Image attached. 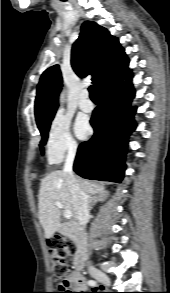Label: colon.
I'll list each match as a JSON object with an SVG mask.
<instances>
[{"label":"colon","mask_w":170,"mask_h":293,"mask_svg":"<svg viewBox=\"0 0 170 293\" xmlns=\"http://www.w3.org/2000/svg\"><path fill=\"white\" fill-rule=\"evenodd\" d=\"M48 246L52 249L50 258L54 276L57 278V292L67 293L71 288V281L67 278L70 264L68 259L75 252V244L72 240L63 237H53L48 239Z\"/></svg>","instance_id":"1"}]
</instances>
